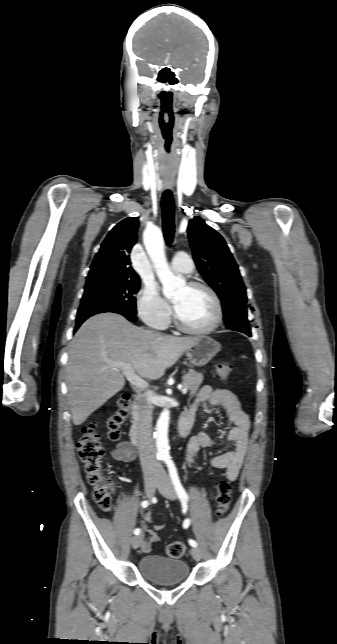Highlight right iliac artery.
Listing matches in <instances>:
<instances>
[{"instance_id":"82829eb1","label":"right iliac artery","mask_w":337,"mask_h":644,"mask_svg":"<svg viewBox=\"0 0 337 644\" xmlns=\"http://www.w3.org/2000/svg\"><path fill=\"white\" fill-rule=\"evenodd\" d=\"M148 505H149V502H148L147 500H144V501H142V503H141V506H142L143 508H146ZM134 534H135V535H139V534H140V529H139V528H136V529L134 530Z\"/></svg>"}]
</instances>
